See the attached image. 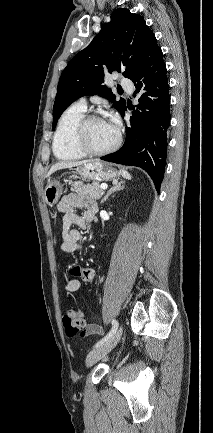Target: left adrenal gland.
Segmentation results:
<instances>
[{"label":"left adrenal gland","instance_id":"left-adrenal-gland-1","mask_svg":"<svg viewBox=\"0 0 213 433\" xmlns=\"http://www.w3.org/2000/svg\"><path fill=\"white\" fill-rule=\"evenodd\" d=\"M123 184H124V182H119V183L115 184L113 187H111L110 190L105 195V197L102 199L101 204H103L112 193L124 189Z\"/></svg>","mask_w":213,"mask_h":433}]
</instances>
